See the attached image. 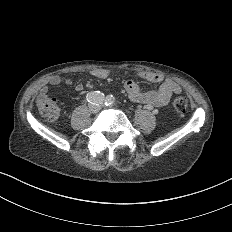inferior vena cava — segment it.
<instances>
[{
  "instance_id": "1",
  "label": "inferior vena cava",
  "mask_w": 232,
  "mask_h": 232,
  "mask_svg": "<svg viewBox=\"0 0 232 232\" xmlns=\"http://www.w3.org/2000/svg\"><path fill=\"white\" fill-rule=\"evenodd\" d=\"M89 107L91 108V111L92 112H97V111H99V110H101L102 109V106L101 105H98V106H94V105H92L91 103L89 104Z\"/></svg>"
}]
</instances>
